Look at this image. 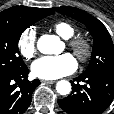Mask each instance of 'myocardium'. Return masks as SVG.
I'll return each instance as SVG.
<instances>
[{"label": "myocardium", "instance_id": "myocardium-1", "mask_svg": "<svg viewBox=\"0 0 114 114\" xmlns=\"http://www.w3.org/2000/svg\"><path fill=\"white\" fill-rule=\"evenodd\" d=\"M70 49L73 51L74 55L81 61L85 62L88 60L92 54V43L89 39L83 36L72 37L68 41Z\"/></svg>", "mask_w": 114, "mask_h": 114}]
</instances>
